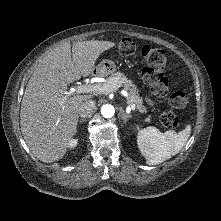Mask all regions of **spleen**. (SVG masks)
Segmentation results:
<instances>
[{
  "mask_svg": "<svg viewBox=\"0 0 221 221\" xmlns=\"http://www.w3.org/2000/svg\"><path fill=\"white\" fill-rule=\"evenodd\" d=\"M190 133L191 125H187L179 133L172 130L161 133L150 126L139 131L137 145L146 163L156 165L176 155L188 141Z\"/></svg>",
  "mask_w": 221,
  "mask_h": 221,
  "instance_id": "obj_1",
  "label": "spleen"
}]
</instances>
